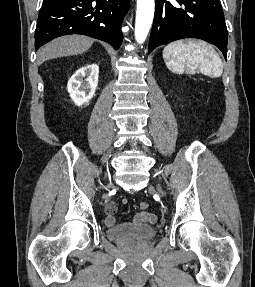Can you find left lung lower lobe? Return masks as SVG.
Segmentation results:
<instances>
[{
	"label": "left lung lower lobe",
	"mask_w": 255,
	"mask_h": 287,
	"mask_svg": "<svg viewBox=\"0 0 255 287\" xmlns=\"http://www.w3.org/2000/svg\"><path fill=\"white\" fill-rule=\"evenodd\" d=\"M148 53L182 38H199L216 45L227 59L228 32L219 0H156Z\"/></svg>",
	"instance_id": "obj_1"
}]
</instances>
